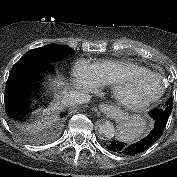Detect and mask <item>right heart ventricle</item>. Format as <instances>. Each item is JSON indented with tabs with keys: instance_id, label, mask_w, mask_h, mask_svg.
Masks as SVG:
<instances>
[{
	"instance_id": "obj_1",
	"label": "right heart ventricle",
	"mask_w": 177,
	"mask_h": 177,
	"mask_svg": "<svg viewBox=\"0 0 177 177\" xmlns=\"http://www.w3.org/2000/svg\"><path fill=\"white\" fill-rule=\"evenodd\" d=\"M102 83L104 85L113 86L114 83L127 73H136L149 71L146 67L123 60H102L94 64Z\"/></svg>"
}]
</instances>
